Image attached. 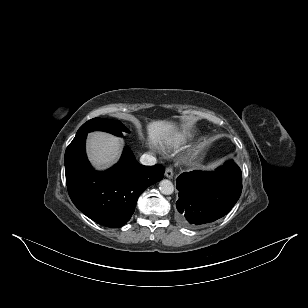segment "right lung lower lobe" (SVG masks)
Segmentation results:
<instances>
[{"label": "right lung lower lobe", "mask_w": 308, "mask_h": 308, "mask_svg": "<svg viewBox=\"0 0 308 308\" xmlns=\"http://www.w3.org/2000/svg\"><path fill=\"white\" fill-rule=\"evenodd\" d=\"M87 133L76 135L65 152L66 184L74 205L93 221L117 228L129 221L140 194L164 176L160 164L143 166L125 147L119 162L95 171L86 156Z\"/></svg>", "instance_id": "right-lung-lower-lobe-1"}]
</instances>
